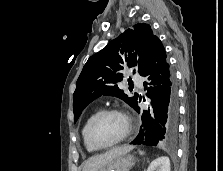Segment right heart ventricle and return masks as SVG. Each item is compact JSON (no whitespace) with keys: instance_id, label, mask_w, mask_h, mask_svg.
<instances>
[{"instance_id":"1","label":"right heart ventricle","mask_w":223,"mask_h":171,"mask_svg":"<svg viewBox=\"0 0 223 171\" xmlns=\"http://www.w3.org/2000/svg\"><path fill=\"white\" fill-rule=\"evenodd\" d=\"M97 113V111H94L92 113H90L84 123H83V126H82V129H81V135H82V140H83V144L86 148V150L88 152H95L97 149H95L93 146H91V144L89 143L88 139H87V135H86V130H87V126H88V123L89 121L91 120V118Z\"/></svg>"}]
</instances>
